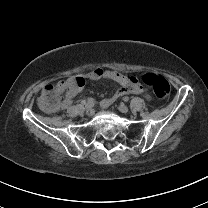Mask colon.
Masks as SVG:
<instances>
[{"label": "colon", "instance_id": "obj_1", "mask_svg": "<svg viewBox=\"0 0 208 208\" xmlns=\"http://www.w3.org/2000/svg\"><path fill=\"white\" fill-rule=\"evenodd\" d=\"M141 80L154 92L158 99H164L170 94L168 81L154 73L141 75ZM74 89V84L69 79L62 80L57 86H50L38 99V104L45 111H59L63 107V100Z\"/></svg>", "mask_w": 208, "mask_h": 208}]
</instances>
